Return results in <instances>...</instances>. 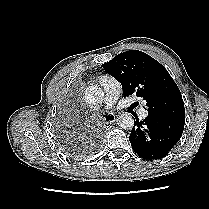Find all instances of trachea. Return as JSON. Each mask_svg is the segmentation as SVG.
<instances>
[{"label":"trachea","instance_id":"trachea-1","mask_svg":"<svg viewBox=\"0 0 209 209\" xmlns=\"http://www.w3.org/2000/svg\"><path fill=\"white\" fill-rule=\"evenodd\" d=\"M106 120H110L108 117H106Z\"/></svg>","mask_w":209,"mask_h":209}]
</instances>
